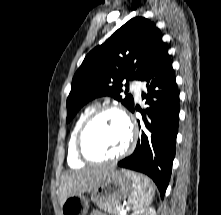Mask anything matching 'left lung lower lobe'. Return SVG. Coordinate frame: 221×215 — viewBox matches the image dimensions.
<instances>
[{
  "label": "left lung lower lobe",
  "instance_id": "left-lung-lower-lobe-1",
  "mask_svg": "<svg viewBox=\"0 0 221 215\" xmlns=\"http://www.w3.org/2000/svg\"><path fill=\"white\" fill-rule=\"evenodd\" d=\"M141 81L146 83L142 99L146 100L147 108L140 111L144 126L134 152L118 162V166L148 175L164 198L175 157L180 111L179 91L166 45L159 50Z\"/></svg>",
  "mask_w": 221,
  "mask_h": 215
}]
</instances>
